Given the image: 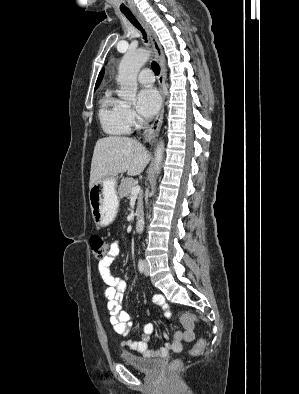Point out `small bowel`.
I'll use <instances>...</instances> for the list:
<instances>
[{
	"instance_id": "obj_1",
	"label": "small bowel",
	"mask_w": 299,
	"mask_h": 394,
	"mask_svg": "<svg viewBox=\"0 0 299 394\" xmlns=\"http://www.w3.org/2000/svg\"><path fill=\"white\" fill-rule=\"evenodd\" d=\"M119 253L120 242L115 241L110 245L108 255L98 263V271L103 282L107 285L104 295L108 300L107 307L111 316V325L116 333L126 337L132 331V323L130 322V315L121 310L120 302L122 301L123 292L127 284L122 278L113 275L109 269V266L117 259ZM153 302L164 311L166 318L170 317L171 314L168 304L162 295H155ZM180 322L184 329L176 331L173 334L172 340L158 349H149L147 345L148 340L155 331V326L151 323L144 325L142 339L140 341L126 338L123 340L122 345L140 353L146 358L165 357L170 352H179L182 350L183 342H190L194 339V322L191 317L182 315ZM165 337L168 338L167 335Z\"/></svg>"
}]
</instances>
